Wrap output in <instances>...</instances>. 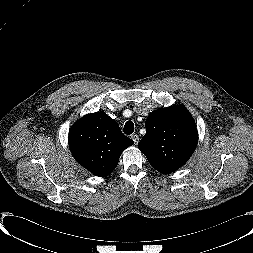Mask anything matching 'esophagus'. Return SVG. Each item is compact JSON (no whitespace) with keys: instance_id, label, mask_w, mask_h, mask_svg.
I'll list each match as a JSON object with an SVG mask.
<instances>
[{"instance_id":"esophagus-1","label":"esophagus","mask_w":253,"mask_h":253,"mask_svg":"<svg viewBox=\"0 0 253 253\" xmlns=\"http://www.w3.org/2000/svg\"><path fill=\"white\" fill-rule=\"evenodd\" d=\"M131 139L134 141V144L136 145L139 141V136L137 134H132Z\"/></svg>"}]
</instances>
